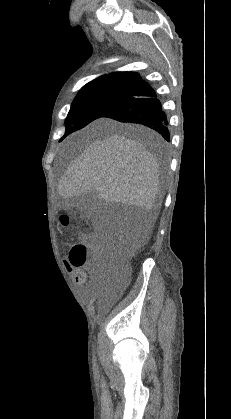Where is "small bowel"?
I'll use <instances>...</instances> for the list:
<instances>
[{
	"label": "small bowel",
	"instance_id": "1",
	"mask_svg": "<svg viewBox=\"0 0 231 419\" xmlns=\"http://www.w3.org/2000/svg\"><path fill=\"white\" fill-rule=\"evenodd\" d=\"M66 266L70 269H76V273L74 275V280L77 284L82 285L87 281V273L82 268H75V266L71 265L70 263H66Z\"/></svg>",
	"mask_w": 231,
	"mask_h": 419
}]
</instances>
